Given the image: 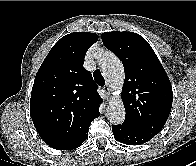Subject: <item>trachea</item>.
Returning <instances> with one entry per match:
<instances>
[{
  "label": "trachea",
  "instance_id": "obj_1",
  "mask_svg": "<svg viewBox=\"0 0 196 166\" xmlns=\"http://www.w3.org/2000/svg\"><path fill=\"white\" fill-rule=\"evenodd\" d=\"M93 77H94L96 83H97L99 86L105 85L104 77L102 76V74H101V72H100L99 70H95V71H94Z\"/></svg>",
  "mask_w": 196,
  "mask_h": 166
}]
</instances>
